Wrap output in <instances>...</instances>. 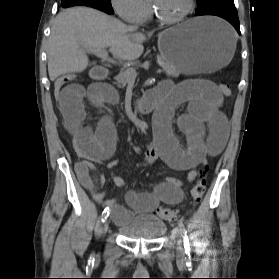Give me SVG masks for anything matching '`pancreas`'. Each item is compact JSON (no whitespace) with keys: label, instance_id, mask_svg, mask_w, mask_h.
I'll list each match as a JSON object with an SVG mask.
<instances>
[{"label":"pancreas","instance_id":"pancreas-1","mask_svg":"<svg viewBox=\"0 0 279 279\" xmlns=\"http://www.w3.org/2000/svg\"><path fill=\"white\" fill-rule=\"evenodd\" d=\"M158 62H160V66L163 68L167 76L175 77L177 78L180 75V71L174 67L169 61H167L162 56H157ZM135 70L133 68H126L124 71L119 73V75L116 76V81L121 84L122 86H126L131 78H132V71Z\"/></svg>","mask_w":279,"mask_h":279}]
</instances>
